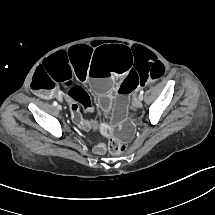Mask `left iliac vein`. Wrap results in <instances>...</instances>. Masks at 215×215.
Here are the masks:
<instances>
[{
  "mask_svg": "<svg viewBox=\"0 0 215 215\" xmlns=\"http://www.w3.org/2000/svg\"><path fill=\"white\" fill-rule=\"evenodd\" d=\"M138 100H139V101H142V100H143V95H142V94H140V95L138 96Z\"/></svg>",
  "mask_w": 215,
  "mask_h": 215,
  "instance_id": "left-iliac-vein-1",
  "label": "left iliac vein"
}]
</instances>
